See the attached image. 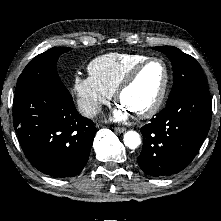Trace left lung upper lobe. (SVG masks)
Wrapping results in <instances>:
<instances>
[{
    "mask_svg": "<svg viewBox=\"0 0 221 221\" xmlns=\"http://www.w3.org/2000/svg\"><path fill=\"white\" fill-rule=\"evenodd\" d=\"M154 49L163 52L173 66L174 82L167 104L189 90L207 87L203 70L192 56L173 46H160Z\"/></svg>",
    "mask_w": 221,
    "mask_h": 221,
    "instance_id": "5c2ea615",
    "label": "left lung upper lobe"
}]
</instances>
